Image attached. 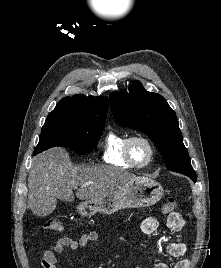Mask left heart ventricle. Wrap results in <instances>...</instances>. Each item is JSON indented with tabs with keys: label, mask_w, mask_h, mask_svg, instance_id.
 Here are the masks:
<instances>
[{
	"label": "left heart ventricle",
	"mask_w": 221,
	"mask_h": 268,
	"mask_svg": "<svg viewBox=\"0 0 221 268\" xmlns=\"http://www.w3.org/2000/svg\"><path fill=\"white\" fill-rule=\"evenodd\" d=\"M131 154L135 162L141 164L148 158V148L141 141H135L131 145Z\"/></svg>",
	"instance_id": "1"
}]
</instances>
